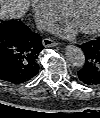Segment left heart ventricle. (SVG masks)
<instances>
[{"label": "left heart ventricle", "instance_id": "b2bd125f", "mask_svg": "<svg viewBox=\"0 0 100 118\" xmlns=\"http://www.w3.org/2000/svg\"><path fill=\"white\" fill-rule=\"evenodd\" d=\"M100 0H88L70 19L80 31L93 27L98 17Z\"/></svg>", "mask_w": 100, "mask_h": 118}]
</instances>
